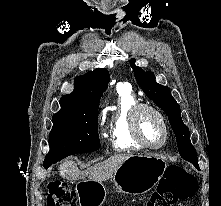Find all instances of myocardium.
<instances>
[{
  "instance_id": "f54148a6",
  "label": "myocardium",
  "mask_w": 221,
  "mask_h": 206,
  "mask_svg": "<svg viewBox=\"0 0 221 206\" xmlns=\"http://www.w3.org/2000/svg\"><path fill=\"white\" fill-rule=\"evenodd\" d=\"M144 111H148V112H151L152 114H154L160 120V122L162 124L163 139L157 145H151V144L147 143L141 133L140 117ZM130 123H131V130H132L133 137H134L135 141L141 147H143L145 149H149V150H159V149L163 148L165 146V144L167 143V140L169 137L168 124H167L165 116L156 107L149 105V104H144V103L136 104L132 108V111H131Z\"/></svg>"
}]
</instances>
